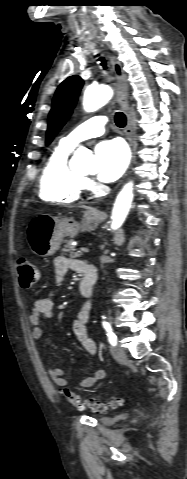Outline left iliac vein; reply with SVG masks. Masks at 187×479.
Listing matches in <instances>:
<instances>
[{"label": "left iliac vein", "mask_w": 187, "mask_h": 479, "mask_svg": "<svg viewBox=\"0 0 187 479\" xmlns=\"http://www.w3.org/2000/svg\"><path fill=\"white\" fill-rule=\"evenodd\" d=\"M110 351H111L113 357H114L116 360H118V361L123 362V361H125L126 358H127L124 349H122V348H120V347H118V346H112V347L110 348Z\"/></svg>", "instance_id": "left-iliac-vein-1"}]
</instances>
